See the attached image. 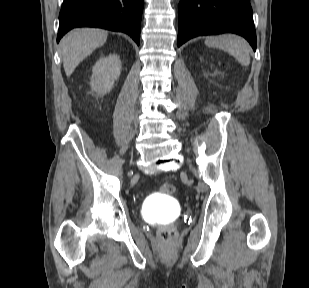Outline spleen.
<instances>
[{"label": "spleen", "mask_w": 309, "mask_h": 288, "mask_svg": "<svg viewBox=\"0 0 309 288\" xmlns=\"http://www.w3.org/2000/svg\"><path fill=\"white\" fill-rule=\"evenodd\" d=\"M205 45L223 49L232 55L242 66L250 64V46L245 39L236 35H219L207 37Z\"/></svg>", "instance_id": "obj_1"}]
</instances>
